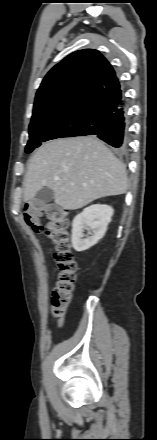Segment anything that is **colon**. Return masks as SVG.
<instances>
[{"label": "colon", "instance_id": "5ec220e1", "mask_svg": "<svg viewBox=\"0 0 157 440\" xmlns=\"http://www.w3.org/2000/svg\"><path fill=\"white\" fill-rule=\"evenodd\" d=\"M23 218L35 232L43 231L42 218L47 219L46 235L53 244V258L57 264V276L52 297V311L56 316L65 314L75 290L77 263L70 243V221L62 207L39 200L23 204Z\"/></svg>", "mask_w": 157, "mask_h": 440}]
</instances>
